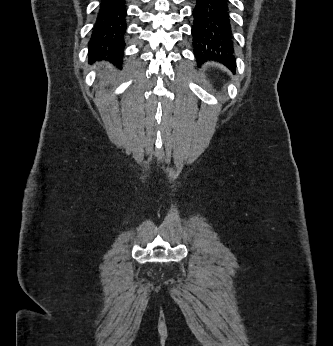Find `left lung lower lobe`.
Here are the masks:
<instances>
[{
  "mask_svg": "<svg viewBox=\"0 0 333 346\" xmlns=\"http://www.w3.org/2000/svg\"><path fill=\"white\" fill-rule=\"evenodd\" d=\"M192 36L194 54L200 64L213 60L235 72L228 0H196Z\"/></svg>",
  "mask_w": 333,
  "mask_h": 346,
  "instance_id": "obj_1",
  "label": "left lung lower lobe"
}]
</instances>
